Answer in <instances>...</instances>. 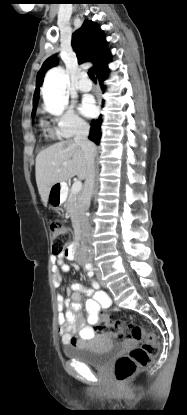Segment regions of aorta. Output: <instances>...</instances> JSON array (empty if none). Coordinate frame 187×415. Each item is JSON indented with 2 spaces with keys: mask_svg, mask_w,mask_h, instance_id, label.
Listing matches in <instances>:
<instances>
[{
  "mask_svg": "<svg viewBox=\"0 0 187 415\" xmlns=\"http://www.w3.org/2000/svg\"><path fill=\"white\" fill-rule=\"evenodd\" d=\"M68 82L69 75L62 67H54L46 73L42 95L45 109L50 114L60 116L66 109L69 103V97L66 94Z\"/></svg>",
  "mask_w": 187,
  "mask_h": 415,
  "instance_id": "obj_1",
  "label": "aorta"
}]
</instances>
